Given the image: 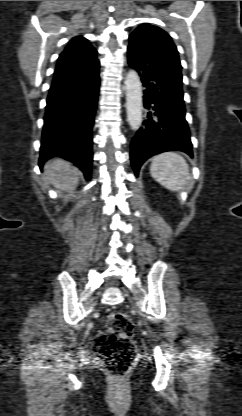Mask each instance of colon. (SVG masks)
Instances as JSON below:
<instances>
[{
	"label": "colon",
	"mask_w": 242,
	"mask_h": 416,
	"mask_svg": "<svg viewBox=\"0 0 242 416\" xmlns=\"http://www.w3.org/2000/svg\"><path fill=\"white\" fill-rule=\"evenodd\" d=\"M134 325L124 312H110L106 328L97 334L94 350L114 377H123L137 357V348L132 340Z\"/></svg>",
	"instance_id": "1"
}]
</instances>
